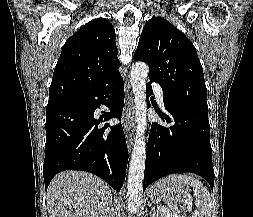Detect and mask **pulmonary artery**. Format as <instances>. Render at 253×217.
<instances>
[{"mask_svg": "<svg viewBox=\"0 0 253 217\" xmlns=\"http://www.w3.org/2000/svg\"><path fill=\"white\" fill-rule=\"evenodd\" d=\"M152 87H153V91H154V93L156 95L157 101L161 105H163L164 98H163V89H162V87L160 85L156 84V83H154L152 85Z\"/></svg>", "mask_w": 253, "mask_h": 217, "instance_id": "pulmonary-artery-1", "label": "pulmonary artery"}]
</instances>
